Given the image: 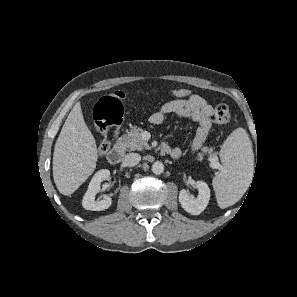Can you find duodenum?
I'll return each mask as SVG.
<instances>
[{"label": "duodenum", "mask_w": 297, "mask_h": 297, "mask_svg": "<svg viewBox=\"0 0 297 297\" xmlns=\"http://www.w3.org/2000/svg\"><path fill=\"white\" fill-rule=\"evenodd\" d=\"M160 152L163 154H170V148L167 145H163L160 148ZM125 154V148L122 143L115 145L107 155L110 163L117 164L122 161Z\"/></svg>", "instance_id": "obj_1"}]
</instances>
